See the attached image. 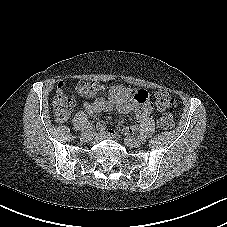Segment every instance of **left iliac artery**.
<instances>
[{
    "label": "left iliac artery",
    "mask_w": 227,
    "mask_h": 227,
    "mask_svg": "<svg viewBox=\"0 0 227 227\" xmlns=\"http://www.w3.org/2000/svg\"><path fill=\"white\" fill-rule=\"evenodd\" d=\"M143 142L146 141V136L144 134H141L140 137H139Z\"/></svg>",
    "instance_id": "obj_1"
}]
</instances>
